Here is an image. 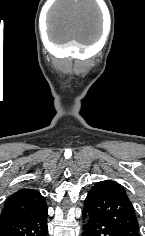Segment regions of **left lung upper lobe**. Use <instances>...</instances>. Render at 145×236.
<instances>
[{"label":"left lung upper lobe","mask_w":145,"mask_h":236,"mask_svg":"<svg viewBox=\"0 0 145 236\" xmlns=\"http://www.w3.org/2000/svg\"><path fill=\"white\" fill-rule=\"evenodd\" d=\"M84 209L114 226L123 236H139L132 203L125 190L114 181L96 183L85 199Z\"/></svg>","instance_id":"1"}]
</instances>
